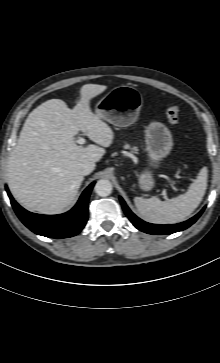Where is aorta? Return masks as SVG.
<instances>
[{"instance_id": "aorta-1", "label": "aorta", "mask_w": 220, "mask_h": 363, "mask_svg": "<svg viewBox=\"0 0 220 363\" xmlns=\"http://www.w3.org/2000/svg\"><path fill=\"white\" fill-rule=\"evenodd\" d=\"M112 184L108 179H100L96 182L94 190L98 196L106 197L112 192Z\"/></svg>"}]
</instances>
